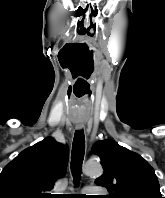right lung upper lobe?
<instances>
[{"instance_id":"right-lung-upper-lobe-1","label":"right lung upper lobe","mask_w":165,"mask_h":198,"mask_svg":"<svg viewBox=\"0 0 165 198\" xmlns=\"http://www.w3.org/2000/svg\"><path fill=\"white\" fill-rule=\"evenodd\" d=\"M68 148L52 137L22 151L0 173V198H47L65 174Z\"/></svg>"}]
</instances>
